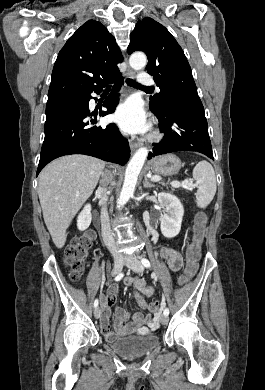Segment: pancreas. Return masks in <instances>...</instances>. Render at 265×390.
Here are the masks:
<instances>
[{"label":"pancreas","mask_w":265,"mask_h":390,"mask_svg":"<svg viewBox=\"0 0 265 390\" xmlns=\"http://www.w3.org/2000/svg\"><path fill=\"white\" fill-rule=\"evenodd\" d=\"M161 184L164 185V186H167L169 183H165V182L162 181ZM170 184L172 185V183H170ZM178 187H179V186H178ZM178 187L172 186V188H178Z\"/></svg>","instance_id":"obj_1"}]
</instances>
